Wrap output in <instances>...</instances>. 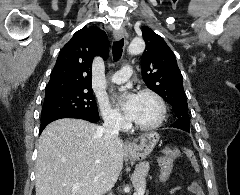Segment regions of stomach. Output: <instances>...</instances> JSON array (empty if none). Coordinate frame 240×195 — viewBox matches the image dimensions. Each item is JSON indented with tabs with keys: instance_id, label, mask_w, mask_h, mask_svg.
Masks as SVG:
<instances>
[{
	"instance_id": "1",
	"label": "stomach",
	"mask_w": 240,
	"mask_h": 195,
	"mask_svg": "<svg viewBox=\"0 0 240 195\" xmlns=\"http://www.w3.org/2000/svg\"><path fill=\"white\" fill-rule=\"evenodd\" d=\"M160 139L157 131H149V133H143L138 139L133 141L132 145H125L126 155L130 159H145L151 151H153L156 143Z\"/></svg>"
}]
</instances>
